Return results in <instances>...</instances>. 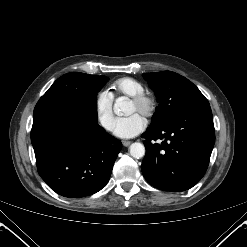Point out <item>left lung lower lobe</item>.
Returning <instances> with one entry per match:
<instances>
[{
	"mask_svg": "<svg viewBox=\"0 0 247 247\" xmlns=\"http://www.w3.org/2000/svg\"><path fill=\"white\" fill-rule=\"evenodd\" d=\"M146 155L142 173L152 186L180 192L204 176L215 142L210 106L192 108L142 134ZM162 140L161 144L153 141Z\"/></svg>",
	"mask_w": 247,
	"mask_h": 247,
	"instance_id": "left-lung-lower-lobe-1",
	"label": "left lung lower lobe"
}]
</instances>
